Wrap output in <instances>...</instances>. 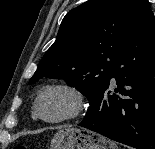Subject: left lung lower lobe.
I'll return each instance as SVG.
<instances>
[{
    "instance_id": "left-lung-lower-lobe-1",
    "label": "left lung lower lobe",
    "mask_w": 155,
    "mask_h": 149,
    "mask_svg": "<svg viewBox=\"0 0 155 149\" xmlns=\"http://www.w3.org/2000/svg\"><path fill=\"white\" fill-rule=\"evenodd\" d=\"M118 88L111 94L110 79ZM79 126L137 149H155V23L148 14L118 53L109 81Z\"/></svg>"
}]
</instances>
